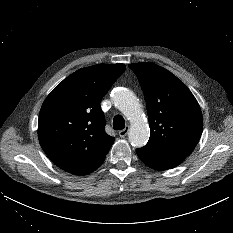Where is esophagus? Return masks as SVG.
Segmentation results:
<instances>
[{
    "label": "esophagus",
    "mask_w": 233,
    "mask_h": 233,
    "mask_svg": "<svg viewBox=\"0 0 233 233\" xmlns=\"http://www.w3.org/2000/svg\"><path fill=\"white\" fill-rule=\"evenodd\" d=\"M128 131H129V126H126L123 130H120V131H119V136H120L121 138L126 137L127 134H128Z\"/></svg>",
    "instance_id": "1"
}]
</instances>
